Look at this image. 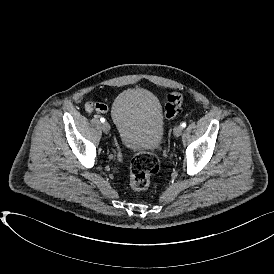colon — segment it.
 I'll return each instance as SVG.
<instances>
[{"label":"colon","instance_id":"5ec220e1","mask_svg":"<svg viewBox=\"0 0 274 274\" xmlns=\"http://www.w3.org/2000/svg\"><path fill=\"white\" fill-rule=\"evenodd\" d=\"M183 98L179 93L167 96L165 105L166 119H172L177 114ZM158 170V158L149 151H141L135 154L130 164L129 185L136 192L148 190L152 185L151 175Z\"/></svg>","mask_w":274,"mask_h":274}]
</instances>
